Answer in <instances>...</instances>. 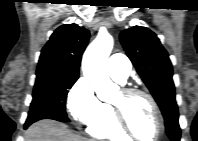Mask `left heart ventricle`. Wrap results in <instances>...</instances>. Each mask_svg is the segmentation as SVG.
Wrapping results in <instances>:
<instances>
[{"label":"left heart ventricle","mask_w":198,"mask_h":141,"mask_svg":"<svg viewBox=\"0 0 198 141\" xmlns=\"http://www.w3.org/2000/svg\"><path fill=\"white\" fill-rule=\"evenodd\" d=\"M112 103L123 108L134 133L144 140H152L157 132L156 119L149 101L140 95L126 97L119 92Z\"/></svg>","instance_id":"b2bd125f"}]
</instances>
